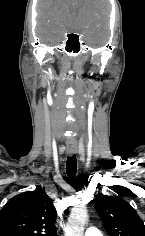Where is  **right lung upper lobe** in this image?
I'll return each mask as SVG.
<instances>
[{
    "mask_svg": "<svg viewBox=\"0 0 145 236\" xmlns=\"http://www.w3.org/2000/svg\"><path fill=\"white\" fill-rule=\"evenodd\" d=\"M56 209L42 188L10 199L0 211V236H57Z\"/></svg>",
    "mask_w": 145,
    "mask_h": 236,
    "instance_id": "cb5924a9",
    "label": "right lung upper lobe"
}]
</instances>
